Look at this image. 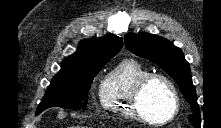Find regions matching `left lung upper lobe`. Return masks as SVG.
Instances as JSON below:
<instances>
[{
  "label": "left lung upper lobe",
  "instance_id": "obj_1",
  "mask_svg": "<svg viewBox=\"0 0 221 128\" xmlns=\"http://www.w3.org/2000/svg\"><path fill=\"white\" fill-rule=\"evenodd\" d=\"M124 42L132 53L153 61L175 80L191 105L193 114L189 115L188 119L196 128H199L201 116L196 91L192 83L189 63L182 50L163 37L145 32L127 34Z\"/></svg>",
  "mask_w": 221,
  "mask_h": 128
}]
</instances>
